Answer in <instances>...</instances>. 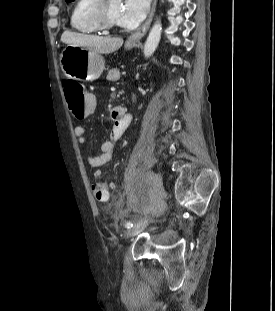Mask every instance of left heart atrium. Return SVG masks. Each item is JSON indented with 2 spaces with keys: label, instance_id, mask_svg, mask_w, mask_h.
Masks as SVG:
<instances>
[{
  "label": "left heart atrium",
  "instance_id": "obj_1",
  "mask_svg": "<svg viewBox=\"0 0 275 311\" xmlns=\"http://www.w3.org/2000/svg\"><path fill=\"white\" fill-rule=\"evenodd\" d=\"M150 0H125L118 15L119 25L126 28L138 26L146 17Z\"/></svg>",
  "mask_w": 275,
  "mask_h": 311
}]
</instances>
